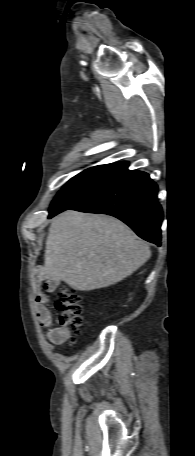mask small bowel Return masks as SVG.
I'll list each match as a JSON object with an SVG mask.
<instances>
[{
    "instance_id": "obj_1",
    "label": "small bowel",
    "mask_w": 195,
    "mask_h": 456,
    "mask_svg": "<svg viewBox=\"0 0 195 456\" xmlns=\"http://www.w3.org/2000/svg\"><path fill=\"white\" fill-rule=\"evenodd\" d=\"M57 281L51 276L39 278L33 282L32 293L35 299L36 315L39 322L48 328L47 337L55 343L61 344L68 338V332L61 328L53 327L52 314L47 306L48 298L45 294L55 291Z\"/></svg>"
}]
</instances>
